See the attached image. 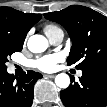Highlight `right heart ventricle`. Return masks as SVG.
Segmentation results:
<instances>
[{
	"label": "right heart ventricle",
	"mask_w": 107,
	"mask_h": 107,
	"mask_svg": "<svg viewBox=\"0 0 107 107\" xmlns=\"http://www.w3.org/2000/svg\"><path fill=\"white\" fill-rule=\"evenodd\" d=\"M62 31L57 25L54 24H47L44 27V32L47 35V37H51L52 35H54L55 33Z\"/></svg>",
	"instance_id": "right-heart-ventricle-1"
}]
</instances>
